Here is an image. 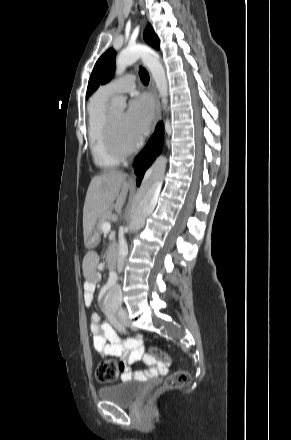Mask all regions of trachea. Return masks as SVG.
Masks as SVG:
<instances>
[{"label":"trachea","mask_w":291,"mask_h":440,"mask_svg":"<svg viewBox=\"0 0 291 440\" xmlns=\"http://www.w3.org/2000/svg\"><path fill=\"white\" fill-rule=\"evenodd\" d=\"M139 76H140V79H141L142 83L144 85H148V83H149V74H148V72L146 71L145 68L140 67V69H139Z\"/></svg>","instance_id":"trachea-1"}]
</instances>
